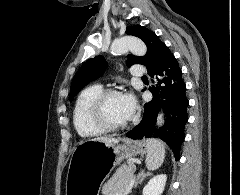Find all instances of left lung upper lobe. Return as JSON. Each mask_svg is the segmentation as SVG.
<instances>
[{
  "label": "left lung upper lobe",
  "instance_id": "left-lung-upper-lobe-1",
  "mask_svg": "<svg viewBox=\"0 0 240 195\" xmlns=\"http://www.w3.org/2000/svg\"><path fill=\"white\" fill-rule=\"evenodd\" d=\"M126 34L136 36L144 41L147 46V54L143 57L128 55L126 65L142 64L146 66L149 73L171 54L169 48L158 38V36L141 25H133L126 28ZM107 68V62L103 56H96L87 60L75 74L70 87V101L89 82L103 75ZM144 91V90H142Z\"/></svg>",
  "mask_w": 240,
  "mask_h": 195
}]
</instances>
